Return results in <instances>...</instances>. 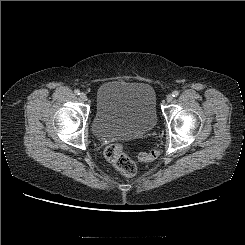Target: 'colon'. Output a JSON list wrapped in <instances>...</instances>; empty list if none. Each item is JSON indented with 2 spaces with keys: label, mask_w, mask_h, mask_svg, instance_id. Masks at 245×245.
Segmentation results:
<instances>
[{
  "label": "colon",
  "mask_w": 245,
  "mask_h": 245,
  "mask_svg": "<svg viewBox=\"0 0 245 245\" xmlns=\"http://www.w3.org/2000/svg\"><path fill=\"white\" fill-rule=\"evenodd\" d=\"M159 155L157 149L151 150L147 153H141L139 159L142 162L155 160ZM107 160L118 169L124 176L130 177L136 173L135 163L128 157L124 148L119 144H112L107 147L105 151Z\"/></svg>",
  "instance_id": "1"
}]
</instances>
